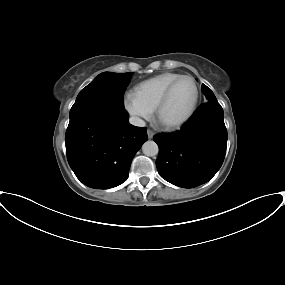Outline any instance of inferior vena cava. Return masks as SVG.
<instances>
[{
  "label": "inferior vena cava",
  "mask_w": 285,
  "mask_h": 285,
  "mask_svg": "<svg viewBox=\"0 0 285 285\" xmlns=\"http://www.w3.org/2000/svg\"><path fill=\"white\" fill-rule=\"evenodd\" d=\"M130 124L134 125V126H138V127H144L145 126V122L144 120L138 118V117H131L129 119Z\"/></svg>",
  "instance_id": "1"
}]
</instances>
